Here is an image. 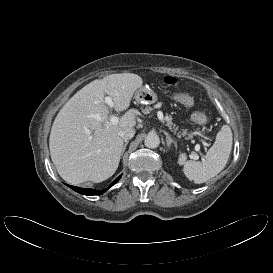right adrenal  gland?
<instances>
[{
	"label": "right adrenal gland",
	"mask_w": 273,
	"mask_h": 273,
	"mask_svg": "<svg viewBox=\"0 0 273 273\" xmlns=\"http://www.w3.org/2000/svg\"><path fill=\"white\" fill-rule=\"evenodd\" d=\"M128 142L129 141L125 140V143H124V146H123V151H122V156H123V154L125 152V149H126V146L128 145Z\"/></svg>",
	"instance_id": "obj_1"
}]
</instances>
